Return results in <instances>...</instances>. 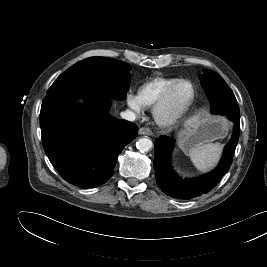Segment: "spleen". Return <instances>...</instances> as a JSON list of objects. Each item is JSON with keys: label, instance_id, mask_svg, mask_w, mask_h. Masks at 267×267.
Returning a JSON list of instances; mask_svg holds the SVG:
<instances>
[{"label": "spleen", "instance_id": "spleen-1", "mask_svg": "<svg viewBox=\"0 0 267 267\" xmlns=\"http://www.w3.org/2000/svg\"><path fill=\"white\" fill-rule=\"evenodd\" d=\"M222 144L219 142L199 145L189 151V156L195 167L200 171L213 168L221 155Z\"/></svg>", "mask_w": 267, "mask_h": 267}]
</instances>
